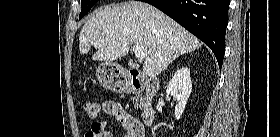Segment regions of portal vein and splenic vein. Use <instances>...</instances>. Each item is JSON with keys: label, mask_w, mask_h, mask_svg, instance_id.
<instances>
[{"label": "portal vein and splenic vein", "mask_w": 280, "mask_h": 137, "mask_svg": "<svg viewBox=\"0 0 280 137\" xmlns=\"http://www.w3.org/2000/svg\"><path fill=\"white\" fill-rule=\"evenodd\" d=\"M132 49H133V52L135 53V56L138 59L142 60L143 58L146 57L145 52H143V50L141 49V47L138 44H134Z\"/></svg>", "instance_id": "obj_1"}]
</instances>
